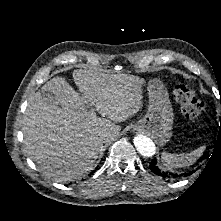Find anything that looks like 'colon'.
<instances>
[{
  "mask_svg": "<svg viewBox=\"0 0 221 221\" xmlns=\"http://www.w3.org/2000/svg\"><path fill=\"white\" fill-rule=\"evenodd\" d=\"M175 96L187 118L196 119L201 116L204 111V104L196 97L192 89L183 83H179L175 87Z\"/></svg>",
  "mask_w": 221,
  "mask_h": 221,
  "instance_id": "colon-1",
  "label": "colon"
}]
</instances>
